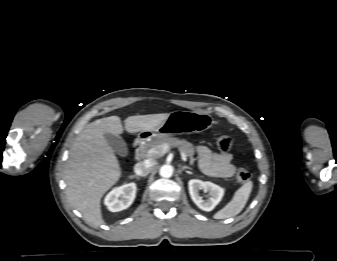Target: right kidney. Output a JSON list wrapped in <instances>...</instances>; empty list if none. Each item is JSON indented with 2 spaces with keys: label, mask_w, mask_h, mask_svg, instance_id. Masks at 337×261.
<instances>
[{
  "label": "right kidney",
  "mask_w": 337,
  "mask_h": 261,
  "mask_svg": "<svg viewBox=\"0 0 337 261\" xmlns=\"http://www.w3.org/2000/svg\"><path fill=\"white\" fill-rule=\"evenodd\" d=\"M136 184L128 183L114 188L105 197L104 203L111 212H119L128 208L136 195Z\"/></svg>",
  "instance_id": "right-kidney-1"
}]
</instances>
